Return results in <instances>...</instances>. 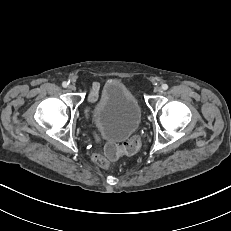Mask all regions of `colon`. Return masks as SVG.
<instances>
[{
  "label": "colon",
  "instance_id": "colon-1",
  "mask_svg": "<svg viewBox=\"0 0 231 231\" xmlns=\"http://www.w3.org/2000/svg\"><path fill=\"white\" fill-rule=\"evenodd\" d=\"M140 146L138 138H133L122 145L108 142L104 145L102 151H97L92 155V160L100 167L107 168L110 162L121 155H134Z\"/></svg>",
  "mask_w": 231,
  "mask_h": 231
}]
</instances>
